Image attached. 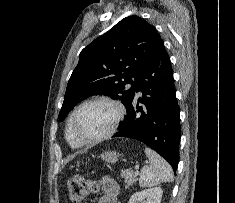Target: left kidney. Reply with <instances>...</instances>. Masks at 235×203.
<instances>
[{"label": "left kidney", "mask_w": 235, "mask_h": 203, "mask_svg": "<svg viewBox=\"0 0 235 203\" xmlns=\"http://www.w3.org/2000/svg\"><path fill=\"white\" fill-rule=\"evenodd\" d=\"M163 190L160 187L135 192L128 203H160Z\"/></svg>", "instance_id": "obj_1"}]
</instances>
